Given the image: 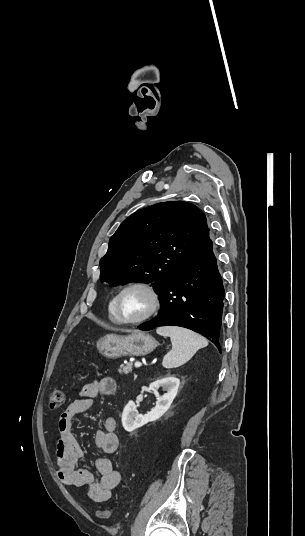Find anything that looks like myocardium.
Instances as JSON below:
<instances>
[{"instance_id":"myocardium-1","label":"myocardium","mask_w":305,"mask_h":536,"mask_svg":"<svg viewBox=\"0 0 305 536\" xmlns=\"http://www.w3.org/2000/svg\"><path fill=\"white\" fill-rule=\"evenodd\" d=\"M134 287L142 288L149 294L150 299H151V306L148 312L141 318H138L135 320H125V319H122L120 315V300H121L123 293L126 290L130 288H134ZM160 308H161L160 292L155 285H153L152 283L148 281L136 280V281L129 282L125 284L123 287H121L119 291L116 293V295L114 296V301H113L114 316L117 320V323L121 326L135 327V326L142 325L146 323L147 321H149L151 318H153V316L157 314Z\"/></svg>"}]
</instances>
